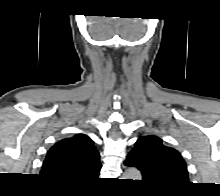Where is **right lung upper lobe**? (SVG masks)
<instances>
[{
	"instance_id": "obj_1",
	"label": "right lung upper lobe",
	"mask_w": 220,
	"mask_h": 196,
	"mask_svg": "<svg viewBox=\"0 0 220 196\" xmlns=\"http://www.w3.org/2000/svg\"><path fill=\"white\" fill-rule=\"evenodd\" d=\"M99 157L93 141L87 135L76 134L50 148L41 176L53 183L83 185L98 177Z\"/></svg>"
}]
</instances>
